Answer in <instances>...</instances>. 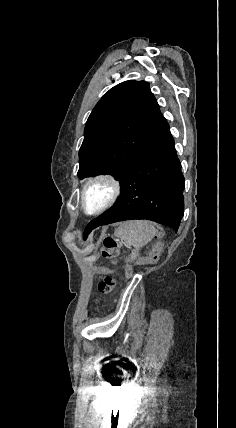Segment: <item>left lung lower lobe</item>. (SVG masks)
<instances>
[{"mask_svg": "<svg viewBox=\"0 0 236 428\" xmlns=\"http://www.w3.org/2000/svg\"><path fill=\"white\" fill-rule=\"evenodd\" d=\"M184 181L174 139L162 116L125 169L117 202L87 225L84 238L100 225L132 219L155 221L177 232L184 210Z\"/></svg>", "mask_w": 236, "mask_h": 428, "instance_id": "1", "label": "left lung lower lobe"}]
</instances>
